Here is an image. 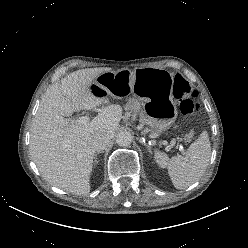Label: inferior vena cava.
<instances>
[{"label":"inferior vena cava","instance_id":"602c4592","mask_svg":"<svg viewBox=\"0 0 248 248\" xmlns=\"http://www.w3.org/2000/svg\"><path fill=\"white\" fill-rule=\"evenodd\" d=\"M111 136L108 133H97L91 138V146L95 151H102L106 148Z\"/></svg>","mask_w":248,"mask_h":248}]
</instances>
